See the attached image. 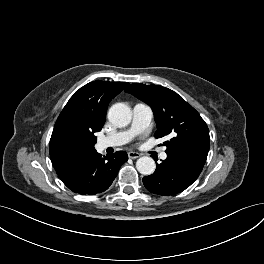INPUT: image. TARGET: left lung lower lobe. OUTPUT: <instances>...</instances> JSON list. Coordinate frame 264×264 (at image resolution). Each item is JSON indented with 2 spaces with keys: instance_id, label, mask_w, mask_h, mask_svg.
I'll return each instance as SVG.
<instances>
[{
  "instance_id": "0a47b994",
  "label": "left lung lower lobe",
  "mask_w": 264,
  "mask_h": 264,
  "mask_svg": "<svg viewBox=\"0 0 264 264\" xmlns=\"http://www.w3.org/2000/svg\"><path fill=\"white\" fill-rule=\"evenodd\" d=\"M206 159L185 150H173L143 178L147 190L158 195H174L188 188L200 175Z\"/></svg>"
}]
</instances>
